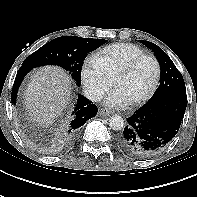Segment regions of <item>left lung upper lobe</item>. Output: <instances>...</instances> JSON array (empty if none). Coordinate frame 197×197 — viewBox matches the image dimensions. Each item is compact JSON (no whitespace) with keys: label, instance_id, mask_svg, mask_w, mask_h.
Masks as SVG:
<instances>
[{"label":"left lung upper lobe","instance_id":"obj_1","mask_svg":"<svg viewBox=\"0 0 197 197\" xmlns=\"http://www.w3.org/2000/svg\"><path fill=\"white\" fill-rule=\"evenodd\" d=\"M144 43L154 51L161 69L160 85L147 103L159 100L161 97L169 94L172 91L186 90L183 77L169 56L156 44L149 41H145Z\"/></svg>","mask_w":197,"mask_h":197}]
</instances>
